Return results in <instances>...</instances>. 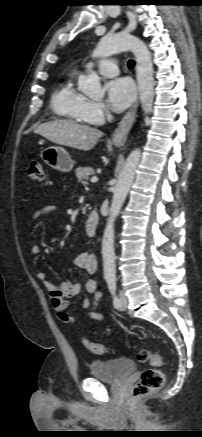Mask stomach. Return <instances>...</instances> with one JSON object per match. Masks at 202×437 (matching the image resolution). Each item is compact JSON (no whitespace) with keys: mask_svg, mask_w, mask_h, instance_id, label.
Listing matches in <instances>:
<instances>
[{"mask_svg":"<svg viewBox=\"0 0 202 437\" xmlns=\"http://www.w3.org/2000/svg\"><path fill=\"white\" fill-rule=\"evenodd\" d=\"M41 158L48 166L61 172H70L74 161L69 153L62 147L49 146L41 152Z\"/></svg>","mask_w":202,"mask_h":437,"instance_id":"1","label":"stomach"}]
</instances>
